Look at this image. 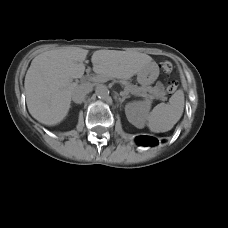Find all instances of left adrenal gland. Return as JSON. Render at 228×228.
Instances as JSON below:
<instances>
[{"label": "left adrenal gland", "instance_id": "1", "mask_svg": "<svg viewBox=\"0 0 228 228\" xmlns=\"http://www.w3.org/2000/svg\"><path fill=\"white\" fill-rule=\"evenodd\" d=\"M126 98H129V96L122 95V98L121 97H118V101L120 102V104H122Z\"/></svg>", "mask_w": 228, "mask_h": 228}]
</instances>
